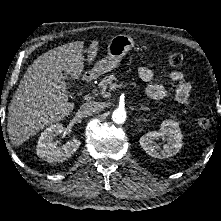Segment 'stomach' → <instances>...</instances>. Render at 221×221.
I'll return each mask as SVG.
<instances>
[{"label": "stomach", "instance_id": "stomach-1", "mask_svg": "<svg viewBox=\"0 0 221 221\" xmlns=\"http://www.w3.org/2000/svg\"><path fill=\"white\" fill-rule=\"evenodd\" d=\"M135 41L128 35L119 34L111 38L108 44V54L105 58L96 62L90 74L93 77L115 69L121 59L134 47Z\"/></svg>", "mask_w": 221, "mask_h": 221}]
</instances>
